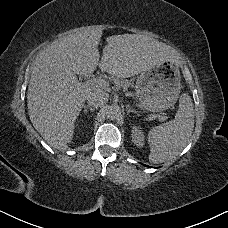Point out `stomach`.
<instances>
[{"label":"stomach","mask_w":228,"mask_h":228,"mask_svg":"<svg viewBox=\"0 0 228 228\" xmlns=\"http://www.w3.org/2000/svg\"><path fill=\"white\" fill-rule=\"evenodd\" d=\"M181 89L180 72L173 63H162L140 73L135 84L140 105L152 113L173 107Z\"/></svg>","instance_id":"1"}]
</instances>
